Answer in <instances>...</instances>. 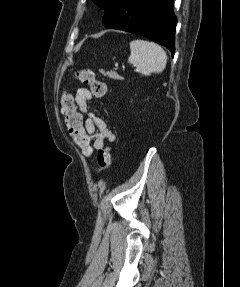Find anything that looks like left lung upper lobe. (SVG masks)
Returning <instances> with one entry per match:
<instances>
[{"instance_id": "obj_1", "label": "left lung upper lobe", "mask_w": 240, "mask_h": 287, "mask_svg": "<svg viewBox=\"0 0 240 287\" xmlns=\"http://www.w3.org/2000/svg\"><path fill=\"white\" fill-rule=\"evenodd\" d=\"M92 1L96 3L99 7H101L102 9H105L110 0H92Z\"/></svg>"}]
</instances>
